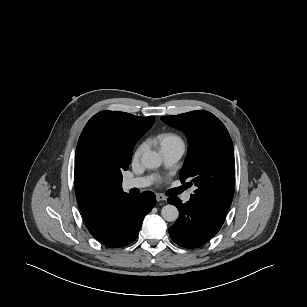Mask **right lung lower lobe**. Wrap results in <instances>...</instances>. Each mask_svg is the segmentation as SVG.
<instances>
[{"instance_id":"1","label":"right lung lower lobe","mask_w":307,"mask_h":307,"mask_svg":"<svg viewBox=\"0 0 307 307\" xmlns=\"http://www.w3.org/2000/svg\"><path fill=\"white\" fill-rule=\"evenodd\" d=\"M156 202L152 192L132 195L119 210L109 230L96 238L108 247H123L132 243L138 236L142 221Z\"/></svg>"}]
</instances>
